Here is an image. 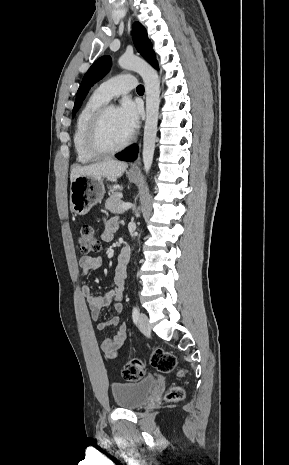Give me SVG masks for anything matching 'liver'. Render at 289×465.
<instances>
[{
    "label": "liver",
    "instance_id": "6515ba94",
    "mask_svg": "<svg viewBox=\"0 0 289 465\" xmlns=\"http://www.w3.org/2000/svg\"><path fill=\"white\" fill-rule=\"evenodd\" d=\"M128 164L117 160H107L87 166H76L71 170L70 180L80 176L119 178L127 169Z\"/></svg>",
    "mask_w": 289,
    "mask_h": 465
}]
</instances>
